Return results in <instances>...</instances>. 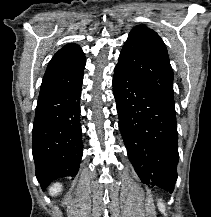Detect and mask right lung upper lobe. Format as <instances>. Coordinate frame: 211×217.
<instances>
[{"label":"right lung upper lobe","instance_id":"1","mask_svg":"<svg viewBox=\"0 0 211 217\" xmlns=\"http://www.w3.org/2000/svg\"><path fill=\"white\" fill-rule=\"evenodd\" d=\"M85 64V54L77 44L62 47L48 64L39 98L76 82L83 73Z\"/></svg>","mask_w":211,"mask_h":217}]
</instances>
